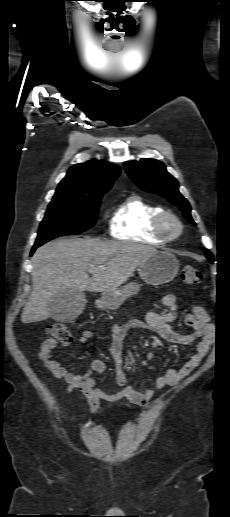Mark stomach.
Segmentation results:
<instances>
[{
    "mask_svg": "<svg viewBox=\"0 0 230 517\" xmlns=\"http://www.w3.org/2000/svg\"><path fill=\"white\" fill-rule=\"evenodd\" d=\"M179 271V261L167 251H157L138 268L141 279L152 285H160L172 281ZM139 284L130 282L122 288L106 290L102 293L98 306L107 309H117L129 297L137 294Z\"/></svg>",
    "mask_w": 230,
    "mask_h": 517,
    "instance_id": "1",
    "label": "stomach"
}]
</instances>
